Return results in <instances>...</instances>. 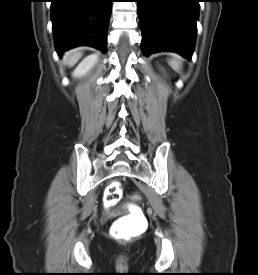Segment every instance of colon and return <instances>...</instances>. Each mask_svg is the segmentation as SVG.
I'll use <instances>...</instances> for the list:
<instances>
[{"label":"colon","mask_w":258,"mask_h":275,"mask_svg":"<svg viewBox=\"0 0 258 275\" xmlns=\"http://www.w3.org/2000/svg\"><path fill=\"white\" fill-rule=\"evenodd\" d=\"M121 195V186L118 182H113L109 185L107 189L106 200L108 201H116L119 199ZM112 235L120 238V239H128L130 238V232L123 229L120 223H116L112 228Z\"/></svg>","instance_id":"obj_1"}]
</instances>
